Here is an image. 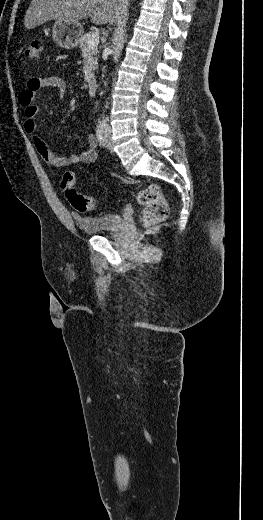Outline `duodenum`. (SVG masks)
Returning a JSON list of instances; mask_svg holds the SVG:
<instances>
[{
  "mask_svg": "<svg viewBox=\"0 0 263 520\" xmlns=\"http://www.w3.org/2000/svg\"><path fill=\"white\" fill-rule=\"evenodd\" d=\"M98 89V83L96 80H90L88 82V93L91 97L95 96Z\"/></svg>",
  "mask_w": 263,
  "mask_h": 520,
  "instance_id": "1",
  "label": "duodenum"
}]
</instances>
